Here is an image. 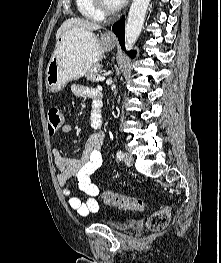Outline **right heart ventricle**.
Here are the masks:
<instances>
[{"mask_svg":"<svg viewBox=\"0 0 221 263\" xmlns=\"http://www.w3.org/2000/svg\"><path fill=\"white\" fill-rule=\"evenodd\" d=\"M78 11L85 18L93 21H102L105 16L101 14L92 4L91 0H75Z\"/></svg>","mask_w":221,"mask_h":263,"instance_id":"obj_1","label":"right heart ventricle"}]
</instances>
